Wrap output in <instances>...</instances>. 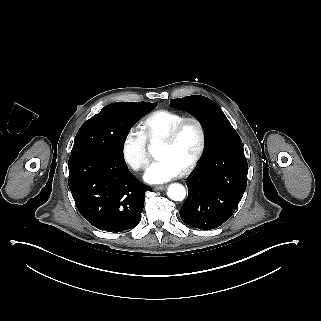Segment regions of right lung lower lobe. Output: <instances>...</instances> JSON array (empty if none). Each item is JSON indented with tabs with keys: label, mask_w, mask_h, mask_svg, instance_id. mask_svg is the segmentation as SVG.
Returning <instances> with one entry per match:
<instances>
[{
	"label": "right lung lower lobe",
	"mask_w": 321,
	"mask_h": 321,
	"mask_svg": "<svg viewBox=\"0 0 321 321\" xmlns=\"http://www.w3.org/2000/svg\"><path fill=\"white\" fill-rule=\"evenodd\" d=\"M136 114H120L121 126L130 131ZM69 188L81 215L93 226L108 232L134 228L140 221L144 196L151 187L139 182L125 160L94 152L69 158Z\"/></svg>",
	"instance_id": "obj_1"
}]
</instances>
